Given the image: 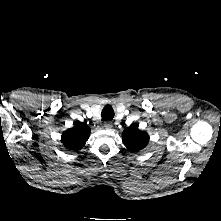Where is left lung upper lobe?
Segmentation results:
<instances>
[{
  "label": "left lung upper lobe",
  "instance_id": "1",
  "mask_svg": "<svg viewBox=\"0 0 221 221\" xmlns=\"http://www.w3.org/2000/svg\"><path fill=\"white\" fill-rule=\"evenodd\" d=\"M122 140L130 152H138L146 147L149 136L146 132L139 130L137 125L133 124L123 131Z\"/></svg>",
  "mask_w": 221,
  "mask_h": 221
}]
</instances>
